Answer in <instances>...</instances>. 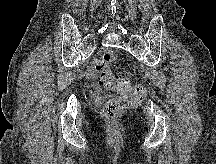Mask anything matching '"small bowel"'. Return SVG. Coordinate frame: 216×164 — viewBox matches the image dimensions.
<instances>
[{"label": "small bowel", "mask_w": 216, "mask_h": 164, "mask_svg": "<svg viewBox=\"0 0 216 164\" xmlns=\"http://www.w3.org/2000/svg\"><path fill=\"white\" fill-rule=\"evenodd\" d=\"M95 91L99 92L100 91L99 87H95Z\"/></svg>", "instance_id": "1"}]
</instances>
